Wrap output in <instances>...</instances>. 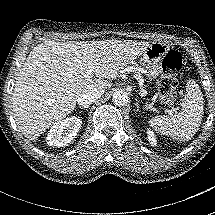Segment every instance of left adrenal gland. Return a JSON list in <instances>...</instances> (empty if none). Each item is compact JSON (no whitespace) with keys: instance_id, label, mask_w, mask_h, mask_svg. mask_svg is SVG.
Returning <instances> with one entry per match:
<instances>
[{"instance_id":"obj_1","label":"left adrenal gland","mask_w":215,"mask_h":215,"mask_svg":"<svg viewBox=\"0 0 215 215\" xmlns=\"http://www.w3.org/2000/svg\"><path fill=\"white\" fill-rule=\"evenodd\" d=\"M135 106H136V109H137V111H138V110H139L138 102L135 103Z\"/></svg>"}]
</instances>
